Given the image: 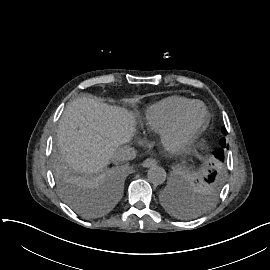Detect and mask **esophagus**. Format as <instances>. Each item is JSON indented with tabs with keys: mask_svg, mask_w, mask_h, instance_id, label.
Segmentation results:
<instances>
[{
	"mask_svg": "<svg viewBox=\"0 0 270 270\" xmlns=\"http://www.w3.org/2000/svg\"><path fill=\"white\" fill-rule=\"evenodd\" d=\"M156 164H157V162H156L155 159H153V158H148V159L144 160V161L142 162L141 165H142L144 168H150V167L155 166Z\"/></svg>",
	"mask_w": 270,
	"mask_h": 270,
	"instance_id": "obj_1",
	"label": "esophagus"
}]
</instances>
